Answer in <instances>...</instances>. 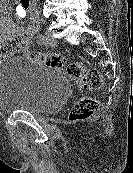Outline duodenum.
<instances>
[{
	"label": "duodenum",
	"mask_w": 133,
	"mask_h": 173,
	"mask_svg": "<svg viewBox=\"0 0 133 173\" xmlns=\"http://www.w3.org/2000/svg\"><path fill=\"white\" fill-rule=\"evenodd\" d=\"M27 4H32V0H24Z\"/></svg>",
	"instance_id": "410a0bca"
}]
</instances>
